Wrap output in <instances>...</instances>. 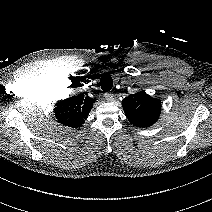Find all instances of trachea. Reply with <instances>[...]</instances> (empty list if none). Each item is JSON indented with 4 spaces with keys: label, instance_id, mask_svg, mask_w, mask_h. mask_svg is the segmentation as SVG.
<instances>
[{
    "label": "trachea",
    "instance_id": "3493384b",
    "mask_svg": "<svg viewBox=\"0 0 212 212\" xmlns=\"http://www.w3.org/2000/svg\"><path fill=\"white\" fill-rule=\"evenodd\" d=\"M100 85H101V89L104 92L110 91L112 89V86H113L112 77L108 74H104L100 79Z\"/></svg>",
    "mask_w": 212,
    "mask_h": 212
}]
</instances>
